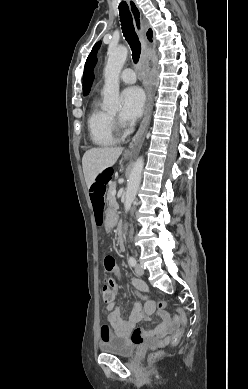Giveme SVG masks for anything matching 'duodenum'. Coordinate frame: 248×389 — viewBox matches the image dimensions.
<instances>
[{
	"label": "duodenum",
	"mask_w": 248,
	"mask_h": 389,
	"mask_svg": "<svg viewBox=\"0 0 248 389\" xmlns=\"http://www.w3.org/2000/svg\"><path fill=\"white\" fill-rule=\"evenodd\" d=\"M118 245H119L120 250H124V247H125L124 236H123V232L120 228L118 231Z\"/></svg>",
	"instance_id": "duodenum-1"
}]
</instances>
